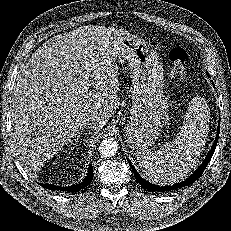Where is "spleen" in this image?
<instances>
[{"mask_svg":"<svg viewBox=\"0 0 231 231\" xmlns=\"http://www.w3.org/2000/svg\"><path fill=\"white\" fill-rule=\"evenodd\" d=\"M207 123L208 113L201 99H192L183 126L174 141L166 142L157 151L137 153V161L144 175L159 185H171L183 179L194 168L203 151Z\"/></svg>","mask_w":231,"mask_h":231,"instance_id":"obj_1","label":"spleen"}]
</instances>
